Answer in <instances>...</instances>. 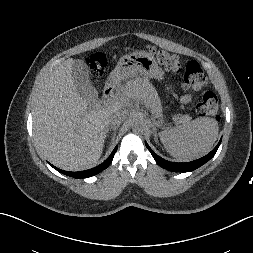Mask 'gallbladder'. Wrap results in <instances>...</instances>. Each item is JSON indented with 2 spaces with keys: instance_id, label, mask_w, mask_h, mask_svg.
I'll use <instances>...</instances> for the list:
<instances>
[{
  "instance_id": "bac80fb5",
  "label": "gallbladder",
  "mask_w": 253,
  "mask_h": 253,
  "mask_svg": "<svg viewBox=\"0 0 253 253\" xmlns=\"http://www.w3.org/2000/svg\"><path fill=\"white\" fill-rule=\"evenodd\" d=\"M72 78L76 91L89 104L97 102V94L89 78L87 65L81 60L73 62Z\"/></svg>"
}]
</instances>
